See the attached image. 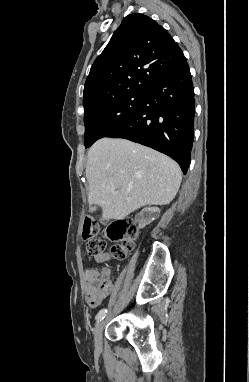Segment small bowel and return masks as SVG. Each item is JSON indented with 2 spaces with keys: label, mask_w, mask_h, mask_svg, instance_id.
<instances>
[{
  "label": "small bowel",
  "mask_w": 249,
  "mask_h": 382,
  "mask_svg": "<svg viewBox=\"0 0 249 382\" xmlns=\"http://www.w3.org/2000/svg\"><path fill=\"white\" fill-rule=\"evenodd\" d=\"M109 259H110V255L108 253H101L96 256V260L100 263L106 262ZM109 276H110V271L108 269H104L102 271V280H107ZM93 293H94V289H93L92 283L90 280H88L86 283V301L89 307L91 308L97 307L103 300V299L94 300L92 298Z\"/></svg>",
  "instance_id": "c3829d8e"
}]
</instances>
